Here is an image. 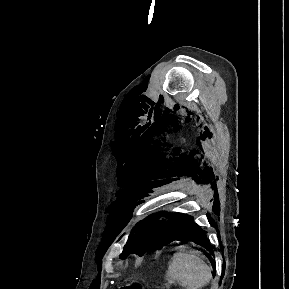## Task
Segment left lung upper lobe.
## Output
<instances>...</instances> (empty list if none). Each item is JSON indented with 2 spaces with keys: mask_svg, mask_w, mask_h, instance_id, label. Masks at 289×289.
Masks as SVG:
<instances>
[{
  "mask_svg": "<svg viewBox=\"0 0 289 289\" xmlns=\"http://www.w3.org/2000/svg\"><path fill=\"white\" fill-rule=\"evenodd\" d=\"M166 220L162 214H152L137 223L120 257L126 258L131 253L141 256L149 248L158 249L165 245L168 239Z\"/></svg>",
  "mask_w": 289,
  "mask_h": 289,
  "instance_id": "left-lung-upper-lobe-1",
  "label": "left lung upper lobe"
}]
</instances>
